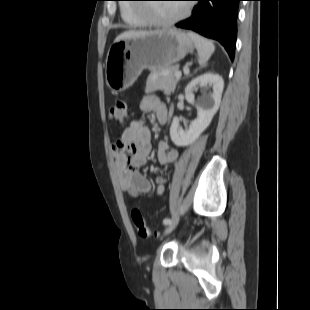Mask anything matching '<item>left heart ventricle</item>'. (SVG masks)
I'll return each instance as SVG.
<instances>
[{"instance_id":"1","label":"left heart ventricle","mask_w":310,"mask_h":310,"mask_svg":"<svg viewBox=\"0 0 310 310\" xmlns=\"http://www.w3.org/2000/svg\"><path fill=\"white\" fill-rule=\"evenodd\" d=\"M157 18L170 19L179 15L183 7L174 4H157L149 9Z\"/></svg>"}]
</instances>
